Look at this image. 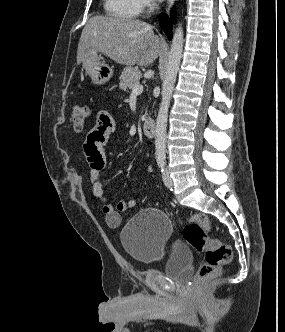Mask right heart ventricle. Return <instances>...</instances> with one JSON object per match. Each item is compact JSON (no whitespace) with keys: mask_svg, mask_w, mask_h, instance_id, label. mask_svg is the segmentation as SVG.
Returning a JSON list of instances; mask_svg holds the SVG:
<instances>
[{"mask_svg":"<svg viewBox=\"0 0 285 332\" xmlns=\"http://www.w3.org/2000/svg\"><path fill=\"white\" fill-rule=\"evenodd\" d=\"M104 10L110 17L131 20L140 12L138 0H104Z\"/></svg>","mask_w":285,"mask_h":332,"instance_id":"obj_1","label":"right heart ventricle"}]
</instances>
